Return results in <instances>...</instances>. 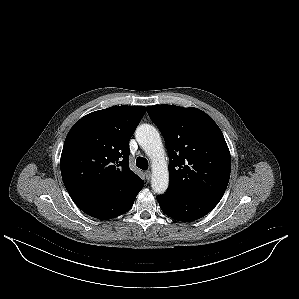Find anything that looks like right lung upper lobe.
Returning a JSON list of instances; mask_svg holds the SVG:
<instances>
[{
    "label": "right lung upper lobe",
    "mask_w": 299,
    "mask_h": 299,
    "mask_svg": "<svg viewBox=\"0 0 299 299\" xmlns=\"http://www.w3.org/2000/svg\"><path fill=\"white\" fill-rule=\"evenodd\" d=\"M145 110L143 106H113L75 123L60 161L62 179L72 199L117 188L124 206L137 196L144 181L129 168L128 142Z\"/></svg>",
    "instance_id": "obj_1"
}]
</instances>
